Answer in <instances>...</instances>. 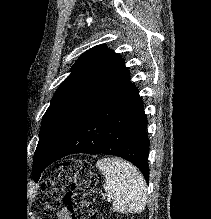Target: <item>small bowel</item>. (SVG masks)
Segmentation results:
<instances>
[{
    "mask_svg": "<svg viewBox=\"0 0 211 219\" xmlns=\"http://www.w3.org/2000/svg\"><path fill=\"white\" fill-rule=\"evenodd\" d=\"M59 219H70L69 213L67 210H63L59 214Z\"/></svg>",
    "mask_w": 211,
    "mask_h": 219,
    "instance_id": "obj_1",
    "label": "small bowel"
}]
</instances>
